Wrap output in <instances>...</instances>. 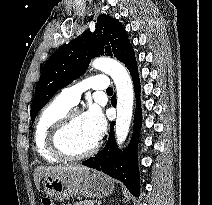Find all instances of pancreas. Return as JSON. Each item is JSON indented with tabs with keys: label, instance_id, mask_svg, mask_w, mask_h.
<instances>
[{
	"label": "pancreas",
	"instance_id": "obj_1",
	"mask_svg": "<svg viewBox=\"0 0 212 205\" xmlns=\"http://www.w3.org/2000/svg\"><path fill=\"white\" fill-rule=\"evenodd\" d=\"M75 205H94V201L92 200L80 201V202H77Z\"/></svg>",
	"mask_w": 212,
	"mask_h": 205
}]
</instances>
